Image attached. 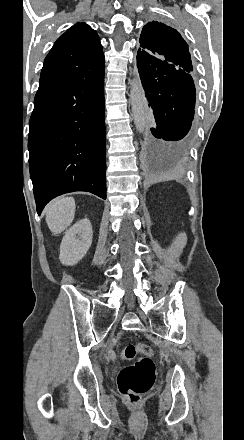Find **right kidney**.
I'll list each match as a JSON object with an SVG mask.
<instances>
[{
	"instance_id": "obj_1",
	"label": "right kidney",
	"mask_w": 244,
	"mask_h": 440,
	"mask_svg": "<svg viewBox=\"0 0 244 440\" xmlns=\"http://www.w3.org/2000/svg\"><path fill=\"white\" fill-rule=\"evenodd\" d=\"M92 244V226L88 218L76 222L67 230L60 246L59 260L64 266H74L87 254Z\"/></svg>"
}]
</instances>
